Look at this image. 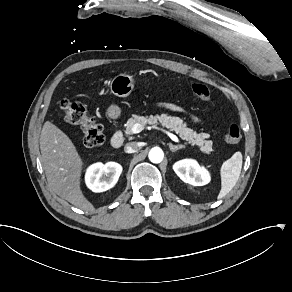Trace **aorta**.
<instances>
[{"instance_id": "1", "label": "aorta", "mask_w": 292, "mask_h": 292, "mask_svg": "<svg viewBox=\"0 0 292 292\" xmlns=\"http://www.w3.org/2000/svg\"><path fill=\"white\" fill-rule=\"evenodd\" d=\"M164 153L159 147H154L149 152V159L153 163H160L163 160Z\"/></svg>"}]
</instances>
